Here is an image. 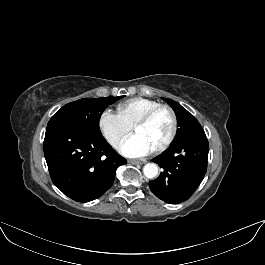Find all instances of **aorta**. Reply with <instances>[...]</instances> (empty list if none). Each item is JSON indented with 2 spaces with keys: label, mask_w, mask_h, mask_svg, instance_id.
Listing matches in <instances>:
<instances>
[{
  "label": "aorta",
  "mask_w": 265,
  "mask_h": 265,
  "mask_svg": "<svg viewBox=\"0 0 265 265\" xmlns=\"http://www.w3.org/2000/svg\"><path fill=\"white\" fill-rule=\"evenodd\" d=\"M143 173L147 178L152 179L158 174V166L155 163H148L143 167Z\"/></svg>",
  "instance_id": "aorta-1"
}]
</instances>
